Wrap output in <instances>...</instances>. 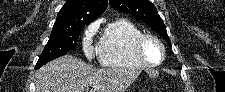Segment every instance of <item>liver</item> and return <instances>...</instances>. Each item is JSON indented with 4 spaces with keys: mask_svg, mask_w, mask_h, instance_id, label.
Here are the masks:
<instances>
[{
    "mask_svg": "<svg viewBox=\"0 0 225 92\" xmlns=\"http://www.w3.org/2000/svg\"><path fill=\"white\" fill-rule=\"evenodd\" d=\"M128 68L96 69L65 55L43 66L36 73V92H124L139 76Z\"/></svg>",
    "mask_w": 225,
    "mask_h": 92,
    "instance_id": "obj_1",
    "label": "liver"
}]
</instances>
